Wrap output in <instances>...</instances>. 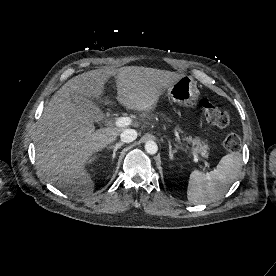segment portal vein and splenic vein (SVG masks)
<instances>
[{
  "instance_id": "18ae733b",
  "label": "portal vein and splenic vein",
  "mask_w": 276,
  "mask_h": 276,
  "mask_svg": "<svg viewBox=\"0 0 276 276\" xmlns=\"http://www.w3.org/2000/svg\"><path fill=\"white\" fill-rule=\"evenodd\" d=\"M131 122H132V121H131V119H130L129 117H119V118L116 119L115 125H116L117 127H126V126L130 125ZM192 154H193V156H194V160H195V161H198V156H197V154H196L195 152H192Z\"/></svg>"
}]
</instances>
